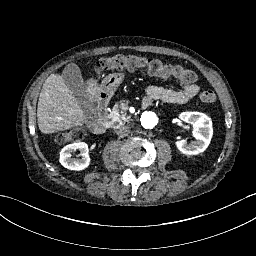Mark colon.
I'll return each instance as SVG.
<instances>
[{
	"instance_id": "colon-1",
	"label": "colon",
	"mask_w": 256,
	"mask_h": 256,
	"mask_svg": "<svg viewBox=\"0 0 256 256\" xmlns=\"http://www.w3.org/2000/svg\"><path fill=\"white\" fill-rule=\"evenodd\" d=\"M136 69H146L152 76L168 79L175 78L182 84L190 85L196 82L197 74L190 69L166 64L155 58H146L136 55H116L102 58L98 65V74L114 73L119 71H134ZM199 98L204 103H214L216 96L210 90H203L199 93ZM86 131L84 128H73L59 136L60 142L80 141L84 138Z\"/></svg>"
}]
</instances>
